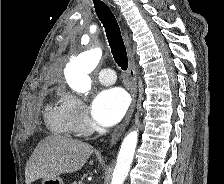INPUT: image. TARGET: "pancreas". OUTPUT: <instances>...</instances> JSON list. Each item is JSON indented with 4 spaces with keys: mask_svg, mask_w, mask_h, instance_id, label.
Listing matches in <instances>:
<instances>
[{
    "mask_svg": "<svg viewBox=\"0 0 224 184\" xmlns=\"http://www.w3.org/2000/svg\"><path fill=\"white\" fill-rule=\"evenodd\" d=\"M72 184H83L81 181H78V182H73Z\"/></svg>",
    "mask_w": 224,
    "mask_h": 184,
    "instance_id": "cf45deb5",
    "label": "pancreas"
}]
</instances>
